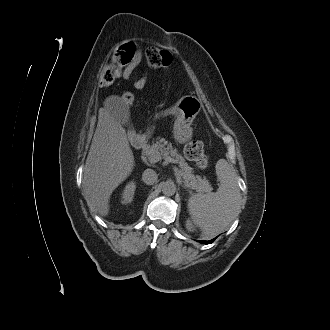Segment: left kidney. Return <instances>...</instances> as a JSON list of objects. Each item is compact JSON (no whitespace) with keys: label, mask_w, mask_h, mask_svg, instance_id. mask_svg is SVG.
Wrapping results in <instances>:
<instances>
[{"label":"left kidney","mask_w":330,"mask_h":330,"mask_svg":"<svg viewBox=\"0 0 330 330\" xmlns=\"http://www.w3.org/2000/svg\"><path fill=\"white\" fill-rule=\"evenodd\" d=\"M186 225V229L190 232H193L195 230V226L193 224V222L190 219H187L185 222Z\"/></svg>","instance_id":"5707ae66"}]
</instances>
